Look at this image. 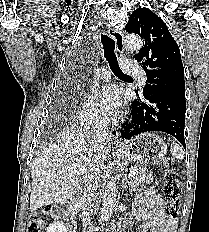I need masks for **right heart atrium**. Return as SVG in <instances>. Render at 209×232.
Masks as SVG:
<instances>
[{"label":"right heart atrium","instance_id":"d8ad5b80","mask_svg":"<svg viewBox=\"0 0 209 232\" xmlns=\"http://www.w3.org/2000/svg\"><path fill=\"white\" fill-rule=\"evenodd\" d=\"M77 119L79 124L87 128L102 126L105 121L103 114L91 98H87L83 102Z\"/></svg>","mask_w":209,"mask_h":232}]
</instances>
